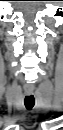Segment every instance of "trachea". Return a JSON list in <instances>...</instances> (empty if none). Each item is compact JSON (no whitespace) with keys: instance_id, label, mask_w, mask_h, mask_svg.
Returning a JSON list of instances; mask_svg holds the SVG:
<instances>
[{"instance_id":"trachea-1","label":"trachea","mask_w":63,"mask_h":130,"mask_svg":"<svg viewBox=\"0 0 63 130\" xmlns=\"http://www.w3.org/2000/svg\"><path fill=\"white\" fill-rule=\"evenodd\" d=\"M24 103H25V107L28 109V110H31L35 104V99H34V96L33 95H28L25 97V100H24Z\"/></svg>"}]
</instances>
